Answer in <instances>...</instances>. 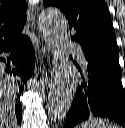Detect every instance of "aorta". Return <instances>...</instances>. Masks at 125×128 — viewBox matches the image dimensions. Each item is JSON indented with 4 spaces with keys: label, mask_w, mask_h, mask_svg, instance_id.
I'll list each match as a JSON object with an SVG mask.
<instances>
[{
    "label": "aorta",
    "mask_w": 125,
    "mask_h": 128,
    "mask_svg": "<svg viewBox=\"0 0 125 128\" xmlns=\"http://www.w3.org/2000/svg\"><path fill=\"white\" fill-rule=\"evenodd\" d=\"M38 25L54 55L47 108L49 117L56 122L66 117L74 97L71 62L65 43L68 24L60 10L47 8L40 13Z\"/></svg>",
    "instance_id": "aorta-1"
}]
</instances>
